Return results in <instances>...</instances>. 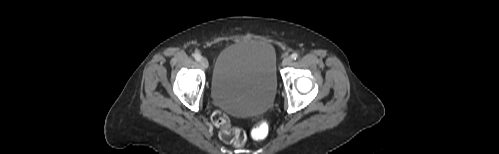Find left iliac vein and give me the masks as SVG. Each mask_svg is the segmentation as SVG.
Instances as JSON below:
<instances>
[{
  "label": "left iliac vein",
  "mask_w": 499,
  "mask_h": 154,
  "mask_svg": "<svg viewBox=\"0 0 499 154\" xmlns=\"http://www.w3.org/2000/svg\"><path fill=\"white\" fill-rule=\"evenodd\" d=\"M291 62H292L291 57H285V58L283 59V61H282V65H283V66H288V65H290V64H291Z\"/></svg>",
  "instance_id": "obj_1"
}]
</instances>
